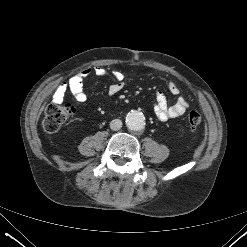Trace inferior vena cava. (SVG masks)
Returning a JSON list of instances; mask_svg holds the SVG:
<instances>
[{
  "label": "inferior vena cava",
  "mask_w": 247,
  "mask_h": 247,
  "mask_svg": "<svg viewBox=\"0 0 247 247\" xmlns=\"http://www.w3.org/2000/svg\"><path fill=\"white\" fill-rule=\"evenodd\" d=\"M122 127V121L120 119H114L110 122V128L113 131L120 130Z\"/></svg>",
  "instance_id": "obj_1"
}]
</instances>
